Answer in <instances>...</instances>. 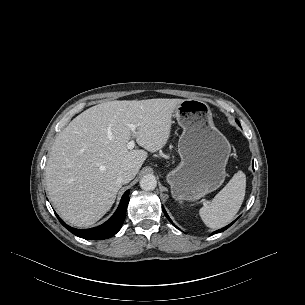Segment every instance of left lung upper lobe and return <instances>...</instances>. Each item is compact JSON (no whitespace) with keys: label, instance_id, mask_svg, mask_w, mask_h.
Instances as JSON below:
<instances>
[{"label":"left lung upper lobe","instance_id":"5c2ea615","mask_svg":"<svg viewBox=\"0 0 305 305\" xmlns=\"http://www.w3.org/2000/svg\"><path fill=\"white\" fill-rule=\"evenodd\" d=\"M236 122L239 124V121L238 120H236ZM240 125V124H239Z\"/></svg>","mask_w":305,"mask_h":305}]
</instances>
